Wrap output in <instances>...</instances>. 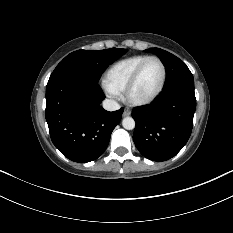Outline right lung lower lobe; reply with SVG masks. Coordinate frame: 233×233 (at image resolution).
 Returning a JSON list of instances; mask_svg holds the SVG:
<instances>
[{
  "label": "right lung lower lobe",
  "mask_w": 233,
  "mask_h": 233,
  "mask_svg": "<svg viewBox=\"0 0 233 233\" xmlns=\"http://www.w3.org/2000/svg\"><path fill=\"white\" fill-rule=\"evenodd\" d=\"M97 82L62 77L48 81L45 117L56 148L68 159L85 163L102 155L123 109L108 112Z\"/></svg>",
  "instance_id": "right-lung-lower-lobe-1"
}]
</instances>
